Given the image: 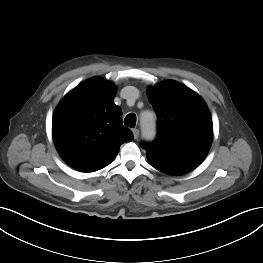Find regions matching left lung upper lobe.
<instances>
[{
  "mask_svg": "<svg viewBox=\"0 0 263 263\" xmlns=\"http://www.w3.org/2000/svg\"><path fill=\"white\" fill-rule=\"evenodd\" d=\"M159 125V139L143 143L146 152L177 161L201 163L213 139V124L204 100L193 90L166 80L148 90Z\"/></svg>",
  "mask_w": 263,
  "mask_h": 263,
  "instance_id": "obj_1",
  "label": "left lung upper lobe"
}]
</instances>
